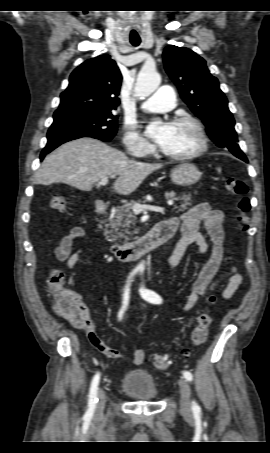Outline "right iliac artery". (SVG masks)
Returning <instances> with one entry per match:
<instances>
[{"label": "right iliac artery", "instance_id": "82829eb1", "mask_svg": "<svg viewBox=\"0 0 270 453\" xmlns=\"http://www.w3.org/2000/svg\"><path fill=\"white\" fill-rule=\"evenodd\" d=\"M134 273H132L129 277V280H128V284L126 285L125 287V291H124V294H123V305H122V308L120 309L119 313H118V317L119 319L121 320L122 319V316H123V313L124 311L126 310L127 306H128V302H129V282H130V278L133 276ZM99 379H100V374L97 373L93 380H92V383H91V388H90V393H89V401H88V409H87V412H86V416H91L94 412V409H95V405L98 401L97 399V393H98V384H99Z\"/></svg>", "mask_w": 270, "mask_h": 453}]
</instances>
